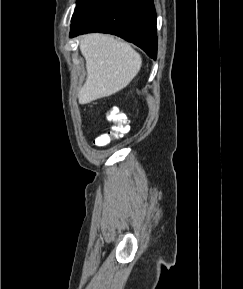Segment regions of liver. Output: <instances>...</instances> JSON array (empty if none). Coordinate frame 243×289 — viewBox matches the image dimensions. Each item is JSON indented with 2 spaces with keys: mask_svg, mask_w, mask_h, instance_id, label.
<instances>
[{
  "mask_svg": "<svg viewBox=\"0 0 243 289\" xmlns=\"http://www.w3.org/2000/svg\"><path fill=\"white\" fill-rule=\"evenodd\" d=\"M80 51L87 78L78 92L80 104L108 97L125 88L138 74L142 58L130 44L101 33L83 36Z\"/></svg>",
  "mask_w": 243,
  "mask_h": 289,
  "instance_id": "1",
  "label": "liver"
}]
</instances>
